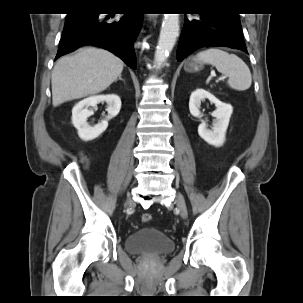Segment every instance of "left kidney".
<instances>
[{"instance_id": "1", "label": "left kidney", "mask_w": 303, "mask_h": 303, "mask_svg": "<svg viewBox=\"0 0 303 303\" xmlns=\"http://www.w3.org/2000/svg\"><path fill=\"white\" fill-rule=\"evenodd\" d=\"M208 99L214 103L216 110L213 111L212 116L215 118L211 129L207 128L205 121L198 126L199 136L208 144L219 147L225 142L226 130L228 128L229 120L233 112L230 104L223 103L217 99L213 94L204 89H196L191 93L189 100V110L192 116L201 118L200 112L201 101Z\"/></svg>"}]
</instances>
